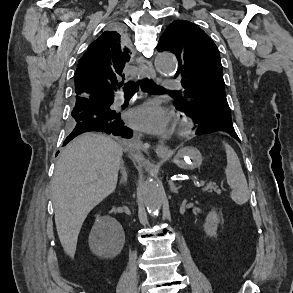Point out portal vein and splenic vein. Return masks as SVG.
Masks as SVG:
<instances>
[{
	"label": "portal vein and splenic vein",
	"instance_id": "18ae733b",
	"mask_svg": "<svg viewBox=\"0 0 293 293\" xmlns=\"http://www.w3.org/2000/svg\"><path fill=\"white\" fill-rule=\"evenodd\" d=\"M203 184H204V182H200V183L197 182V185H198V186H202Z\"/></svg>",
	"mask_w": 293,
	"mask_h": 293
}]
</instances>
